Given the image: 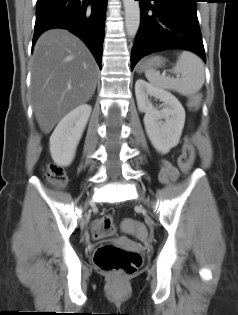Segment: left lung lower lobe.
<instances>
[{"mask_svg": "<svg viewBox=\"0 0 238 315\" xmlns=\"http://www.w3.org/2000/svg\"><path fill=\"white\" fill-rule=\"evenodd\" d=\"M137 1L141 21L131 53V70L144 56L166 49L189 50L206 61L196 14L197 0Z\"/></svg>", "mask_w": 238, "mask_h": 315, "instance_id": "0a47b994", "label": "left lung lower lobe"}]
</instances>
